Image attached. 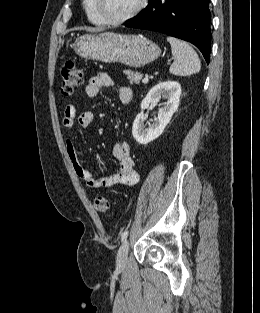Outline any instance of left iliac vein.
<instances>
[{"label":"left iliac vein","instance_id":"4c4485c4","mask_svg":"<svg viewBox=\"0 0 260 313\" xmlns=\"http://www.w3.org/2000/svg\"><path fill=\"white\" fill-rule=\"evenodd\" d=\"M128 251H129V242L127 240L123 241L121 244L118 253H117V259L116 264L118 267H124L127 262L128 257Z\"/></svg>","mask_w":260,"mask_h":313}]
</instances>
